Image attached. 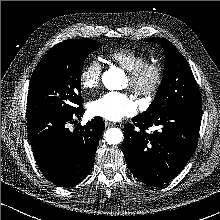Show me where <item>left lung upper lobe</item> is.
I'll use <instances>...</instances> for the list:
<instances>
[{"label": "left lung upper lobe", "mask_w": 220, "mask_h": 220, "mask_svg": "<svg viewBox=\"0 0 220 220\" xmlns=\"http://www.w3.org/2000/svg\"><path fill=\"white\" fill-rule=\"evenodd\" d=\"M165 51L164 73L150 107L142 114L154 116L166 111L201 108L202 102L193 73L181 53L165 38H150Z\"/></svg>", "instance_id": "left-lung-upper-lobe-1"}]
</instances>
